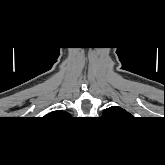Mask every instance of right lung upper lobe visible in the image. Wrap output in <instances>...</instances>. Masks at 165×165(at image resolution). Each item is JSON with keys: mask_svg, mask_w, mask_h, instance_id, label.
<instances>
[{"mask_svg": "<svg viewBox=\"0 0 165 165\" xmlns=\"http://www.w3.org/2000/svg\"><path fill=\"white\" fill-rule=\"evenodd\" d=\"M67 115V112L65 111H54V112H51L50 114H48L46 117L47 118H54V117H59V116H66Z\"/></svg>", "mask_w": 165, "mask_h": 165, "instance_id": "1", "label": "right lung upper lobe"}]
</instances>
